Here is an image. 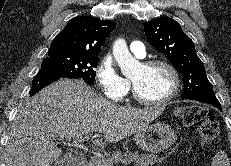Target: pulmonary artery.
Wrapping results in <instances>:
<instances>
[{
    "label": "pulmonary artery",
    "instance_id": "obj_1",
    "mask_svg": "<svg viewBox=\"0 0 231 166\" xmlns=\"http://www.w3.org/2000/svg\"><path fill=\"white\" fill-rule=\"evenodd\" d=\"M130 51L137 57L142 58L146 55V48L143 42L133 41L129 45Z\"/></svg>",
    "mask_w": 231,
    "mask_h": 166
}]
</instances>
